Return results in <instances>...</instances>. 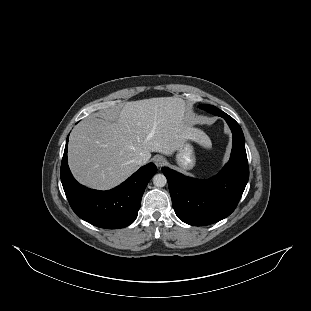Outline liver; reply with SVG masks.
<instances>
[{
    "label": "liver",
    "instance_id": "obj_1",
    "mask_svg": "<svg viewBox=\"0 0 311 311\" xmlns=\"http://www.w3.org/2000/svg\"><path fill=\"white\" fill-rule=\"evenodd\" d=\"M180 98H151L128 102L114 123L88 117L76 126L69 140V165L83 184L109 189L124 181L137 168L133 160L152 152L173 156L187 142L209 148V137L194 128L184 115Z\"/></svg>",
    "mask_w": 311,
    "mask_h": 311
}]
</instances>
